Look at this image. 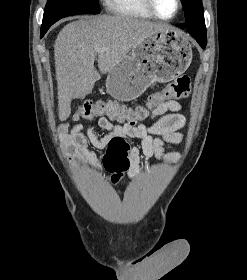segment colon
I'll return each mask as SVG.
<instances>
[{
	"label": "colon",
	"instance_id": "1",
	"mask_svg": "<svg viewBox=\"0 0 247 280\" xmlns=\"http://www.w3.org/2000/svg\"><path fill=\"white\" fill-rule=\"evenodd\" d=\"M191 81L189 76L181 75L169 83L163 90L150 94L145 104L126 106L115 101H85L82 103L74 118L92 120L96 117H107L129 125H137L147 119L150 112L162 104L189 96ZM129 144L123 139H114L107 147L103 157V167L117 182L129 169Z\"/></svg>",
	"mask_w": 247,
	"mask_h": 280
}]
</instances>
